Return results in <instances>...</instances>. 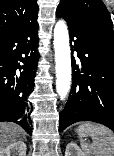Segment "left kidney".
I'll list each match as a JSON object with an SVG mask.
<instances>
[{
	"instance_id": "5707ae66",
	"label": "left kidney",
	"mask_w": 114,
	"mask_h": 156,
	"mask_svg": "<svg viewBox=\"0 0 114 156\" xmlns=\"http://www.w3.org/2000/svg\"><path fill=\"white\" fill-rule=\"evenodd\" d=\"M65 156H86L76 143L70 142L66 146Z\"/></svg>"
}]
</instances>
